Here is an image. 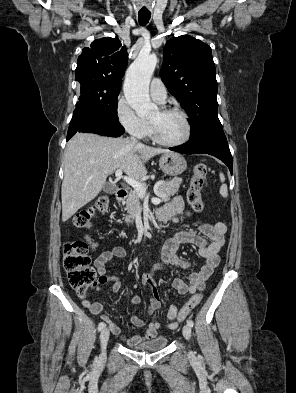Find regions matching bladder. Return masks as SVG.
<instances>
[{
  "instance_id": "obj_1",
  "label": "bladder",
  "mask_w": 296,
  "mask_h": 393,
  "mask_svg": "<svg viewBox=\"0 0 296 393\" xmlns=\"http://www.w3.org/2000/svg\"><path fill=\"white\" fill-rule=\"evenodd\" d=\"M168 339L165 336H158L143 344L131 346L135 351L154 352L163 349L167 345Z\"/></svg>"
}]
</instances>
